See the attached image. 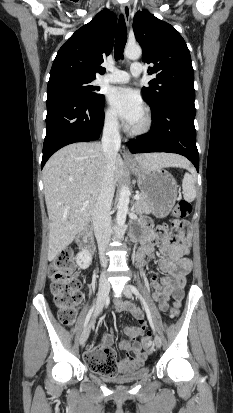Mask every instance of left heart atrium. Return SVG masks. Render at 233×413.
Masks as SVG:
<instances>
[{
  "instance_id": "1",
  "label": "left heart atrium",
  "mask_w": 233,
  "mask_h": 413,
  "mask_svg": "<svg viewBox=\"0 0 233 413\" xmlns=\"http://www.w3.org/2000/svg\"><path fill=\"white\" fill-rule=\"evenodd\" d=\"M109 102L119 117L133 126L144 114V103L140 94L127 87L115 88L110 92Z\"/></svg>"
}]
</instances>
